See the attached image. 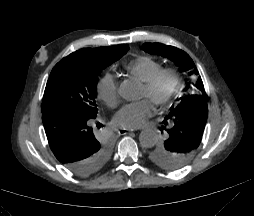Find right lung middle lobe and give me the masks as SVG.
Wrapping results in <instances>:
<instances>
[{
	"mask_svg": "<svg viewBox=\"0 0 254 216\" xmlns=\"http://www.w3.org/2000/svg\"><path fill=\"white\" fill-rule=\"evenodd\" d=\"M128 50V46L84 48L63 58L49 76L42 100V113L52 109H63L95 119L98 74ZM110 152L109 144H102L99 157L88 169L87 174L80 177H89L98 172L109 159Z\"/></svg>",
	"mask_w": 254,
	"mask_h": 216,
	"instance_id": "right-lung-middle-lobe-1",
	"label": "right lung middle lobe"
}]
</instances>
